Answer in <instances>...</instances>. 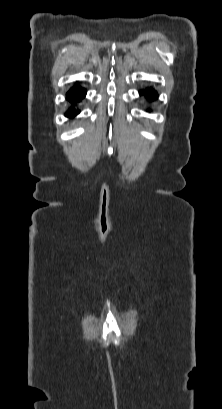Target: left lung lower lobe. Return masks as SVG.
Segmentation results:
<instances>
[{
  "label": "left lung lower lobe",
  "instance_id": "1",
  "mask_svg": "<svg viewBox=\"0 0 222 409\" xmlns=\"http://www.w3.org/2000/svg\"><path fill=\"white\" fill-rule=\"evenodd\" d=\"M141 93H143V92H141ZM145 95L150 99V100H153V99H156V97H157V94H156V92L154 91V90H147V91H145Z\"/></svg>",
  "mask_w": 222,
  "mask_h": 409
}]
</instances>
